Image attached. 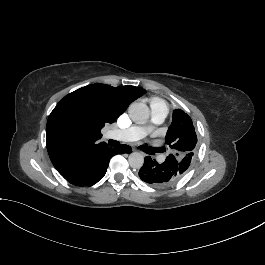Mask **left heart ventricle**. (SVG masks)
Returning a JSON list of instances; mask_svg holds the SVG:
<instances>
[{
    "mask_svg": "<svg viewBox=\"0 0 265 265\" xmlns=\"http://www.w3.org/2000/svg\"><path fill=\"white\" fill-rule=\"evenodd\" d=\"M153 120V116L152 114H150L149 118L145 122L140 123V127L144 131V133H154V131L157 130L153 126Z\"/></svg>",
    "mask_w": 265,
    "mask_h": 265,
    "instance_id": "1",
    "label": "left heart ventricle"
}]
</instances>
